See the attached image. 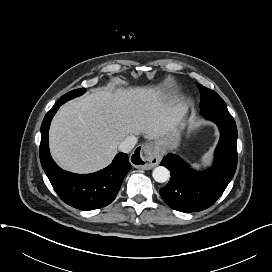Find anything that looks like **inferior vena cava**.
Segmentation results:
<instances>
[{
    "mask_svg": "<svg viewBox=\"0 0 272 272\" xmlns=\"http://www.w3.org/2000/svg\"><path fill=\"white\" fill-rule=\"evenodd\" d=\"M137 143V138L135 136L126 137L118 146L121 152L129 153Z\"/></svg>",
    "mask_w": 272,
    "mask_h": 272,
    "instance_id": "obj_1",
    "label": "inferior vena cava"
}]
</instances>
